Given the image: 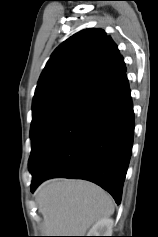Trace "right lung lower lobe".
<instances>
[{
	"mask_svg": "<svg viewBox=\"0 0 158 237\" xmlns=\"http://www.w3.org/2000/svg\"><path fill=\"white\" fill-rule=\"evenodd\" d=\"M134 137L126 74L91 96L40 143L29 163L31 191L52 177L85 179L119 204Z\"/></svg>",
	"mask_w": 158,
	"mask_h": 237,
	"instance_id": "obj_1",
	"label": "right lung lower lobe"
}]
</instances>
